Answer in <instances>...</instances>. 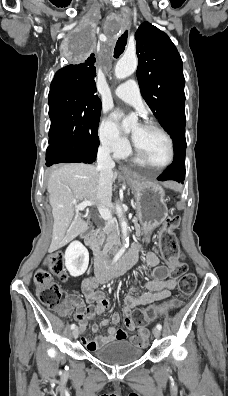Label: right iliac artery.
<instances>
[{
  "label": "right iliac artery",
  "instance_id": "obj_1",
  "mask_svg": "<svg viewBox=\"0 0 228 396\" xmlns=\"http://www.w3.org/2000/svg\"><path fill=\"white\" fill-rule=\"evenodd\" d=\"M121 255H122V252H119V253L114 257V259H113L111 265H113V264L120 258ZM75 327H76L75 324H72V325H71V329H75Z\"/></svg>",
  "mask_w": 228,
  "mask_h": 396
}]
</instances>
